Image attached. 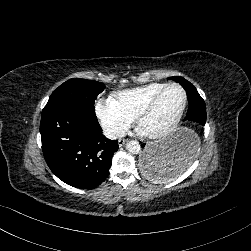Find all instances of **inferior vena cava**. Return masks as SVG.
I'll use <instances>...</instances> for the list:
<instances>
[{
  "mask_svg": "<svg viewBox=\"0 0 251 251\" xmlns=\"http://www.w3.org/2000/svg\"><path fill=\"white\" fill-rule=\"evenodd\" d=\"M103 135L110 140H116L117 138H121L125 135L124 130L115 126V125H108L102 128Z\"/></svg>",
  "mask_w": 251,
  "mask_h": 251,
  "instance_id": "602c4592",
  "label": "inferior vena cava"
}]
</instances>
